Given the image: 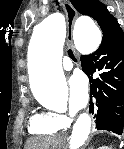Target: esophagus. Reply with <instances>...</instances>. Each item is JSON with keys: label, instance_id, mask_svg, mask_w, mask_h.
I'll use <instances>...</instances> for the list:
<instances>
[{"label": "esophagus", "instance_id": "esophagus-1", "mask_svg": "<svg viewBox=\"0 0 124 149\" xmlns=\"http://www.w3.org/2000/svg\"><path fill=\"white\" fill-rule=\"evenodd\" d=\"M64 8L67 16V45L72 48L73 47L72 32H73L74 22L78 16V12L73 7L70 1L64 2ZM95 112L96 111H94L92 117H94Z\"/></svg>", "mask_w": 124, "mask_h": 149}]
</instances>
